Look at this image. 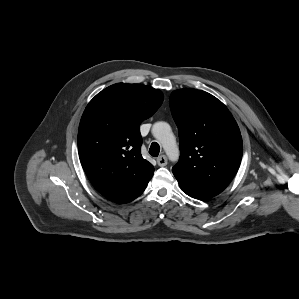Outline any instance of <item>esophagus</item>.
I'll return each instance as SVG.
<instances>
[{
  "instance_id": "esophagus-1",
  "label": "esophagus",
  "mask_w": 299,
  "mask_h": 299,
  "mask_svg": "<svg viewBox=\"0 0 299 299\" xmlns=\"http://www.w3.org/2000/svg\"><path fill=\"white\" fill-rule=\"evenodd\" d=\"M157 163L159 166L163 167L167 165V157L165 155H161L157 158Z\"/></svg>"
}]
</instances>
